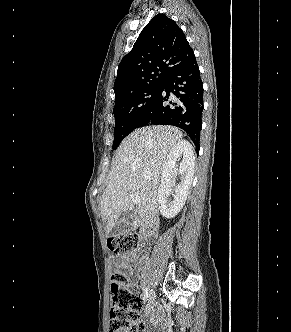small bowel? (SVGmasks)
I'll use <instances>...</instances> for the list:
<instances>
[{
    "instance_id": "obj_1",
    "label": "small bowel",
    "mask_w": 291,
    "mask_h": 332,
    "mask_svg": "<svg viewBox=\"0 0 291 332\" xmlns=\"http://www.w3.org/2000/svg\"><path fill=\"white\" fill-rule=\"evenodd\" d=\"M115 264H116L117 267L124 268V269H129L131 272H133V269H132L131 267H127L123 262H119V261H118V262H116ZM158 317H159V315L157 314V315L153 318V320L156 321Z\"/></svg>"
}]
</instances>
